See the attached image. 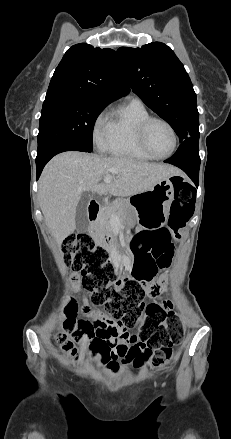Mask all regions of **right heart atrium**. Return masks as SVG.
Masks as SVG:
<instances>
[{"instance_id": "obj_1", "label": "right heart atrium", "mask_w": 231, "mask_h": 439, "mask_svg": "<svg viewBox=\"0 0 231 439\" xmlns=\"http://www.w3.org/2000/svg\"><path fill=\"white\" fill-rule=\"evenodd\" d=\"M106 124H107V116L105 112H101L95 119L93 124L92 136L93 140L97 144H101V142L105 139L106 135Z\"/></svg>"}]
</instances>
